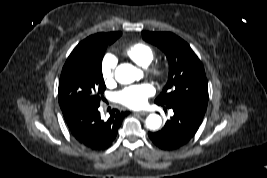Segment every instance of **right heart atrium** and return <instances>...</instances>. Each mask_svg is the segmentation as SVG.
<instances>
[{"instance_id":"right-heart-atrium-1","label":"right heart atrium","mask_w":267,"mask_h":178,"mask_svg":"<svg viewBox=\"0 0 267 178\" xmlns=\"http://www.w3.org/2000/svg\"><path fill=\"white\" fill-rule=\"evenodd\" d=\"M116 58L112 54H105L101 60V76L106 85L115 82Z\"/></svg>"}]
</instances>
